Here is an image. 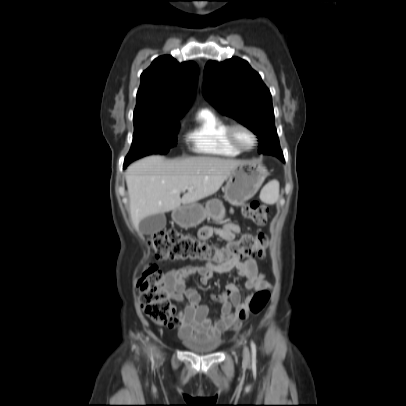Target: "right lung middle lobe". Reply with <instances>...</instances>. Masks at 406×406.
<instances>
[{"instance_id": "1", "label": "right lung middle lobe", "mask_w": 406, "mask_h": 406, "mask_svg": "<svg viewBox=\"0 0 406 406\" xmlns=\"http://www.w3.org/2000/svg\"><path fill=\"white\" fill-rule=\"evenodd\" d=\"M179 118L134 115V135L125 165L149 154H166L176 145Z\"/></svg>"}]
</instances>
